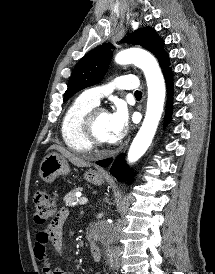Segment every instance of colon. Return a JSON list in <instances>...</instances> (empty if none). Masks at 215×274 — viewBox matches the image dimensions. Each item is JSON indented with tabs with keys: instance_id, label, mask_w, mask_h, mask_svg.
I'll use <instances>...</instances> for the list:
<instances>
[{
	"instance_id": "obj_1",
	"label": "colon",
	"mask_w": 215,
	"mask_h": 274,
	"mask_svg": "<svg viewBox=\"0 0 215 274\" xmlns=\"http://www.w3.org/2000/svg\"><path fill=\"white\" fill-rule=\"evenodd\" d=\"M34 207V220L38 225L46 224L55 215V201L45 191H38L35 194Z\"/></svg>"
}]
</instances>
